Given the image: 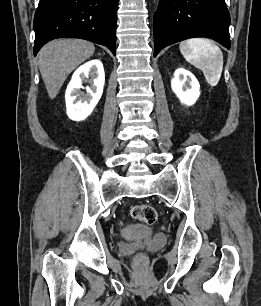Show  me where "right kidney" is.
<instances>
[{"label": "right kidney", "instance_id": "ca27d5eb", "mask_svg": "<svg viewBox=\"0 0 261 306\" xmlns=\"http://www.w3.org/2000/svg\"><path fill=\"white\" fill-rule=\"evenodd\" d=\"M90 78L91 88L86 87V94L80 89L82 83ZM105 83V74L100 60L94 59L81 65L73 74L65 93L67 115L74 121L86 119L99 102Z\"/></svg>", "mask_w": 261, "mask_h": 306}]
</instances>
